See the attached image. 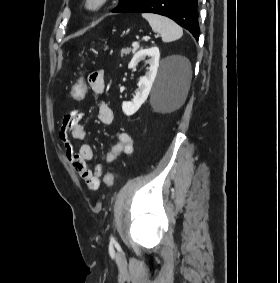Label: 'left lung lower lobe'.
I'll return each instance as SVG.
<instances>
[{
  "label": "left lung lower lobe",
  "instance_id": "left-lung-lower-lobe-1",
  "mask_svg": "<svg viewBox=\"0 0 280 283\" xmlns=\"http://www.w3.org/2000/svg\"><path fill=\"white\" fill-rule=\"evenodd\" d=\"M198 0H137L123 12H148L167 16L199 37Z\"/></svg>",
  "mask_w": 280,
  "mask_h": 283
}]
</instances>
